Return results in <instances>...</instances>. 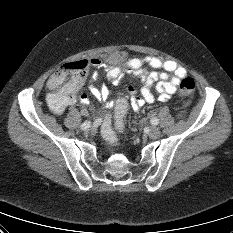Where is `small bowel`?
<instances>
[{"instance_id": "obj_1", "label": "small bowel", "mask_w": 233, "mask_h": 233, "mask_svg": "<svg viewBox=\"0 0 233 233\" xmlns=\"http://www.w3.org/2000/svg\"><path fill=\"white\" fill-rule=\"evenodd\" d=\"M90 64L103 69L114 85L127 75L135 76L141 80L140 95L132 86L128 87L125 95L135 110L145 104L153 103L156 98L160 101L168 100L187 74L186 69L174 61L162 60L155 56L127 59L122 52L110 53L102 59L93 58ZM146 66L153 68V71H145ZM83 85L84 81L73 90L60 88L53 84V75H51L46 83L47 88L51 90L46 98L49 109L54 114L61 115L76 102L87 106L90 100L86 93L81 92ZM89 91L99 101H105L109 96V90L104 85L97 87L90 84ZM83 113L87 114L86 108L83 109Z\"/></svg>"}]
</instances>
